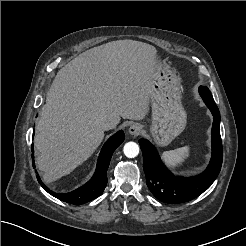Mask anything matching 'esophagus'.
I'll use <instances>...</instances> for the list:
<instances>
[{
	"label": "esophagus",
	"mask_w": 246,
	"mask_h": 246,
	"mask_svg": "<svg viewBox=\"0 0 246 246\" xmlns=\"http://www.w3.org/2000/svg\"><path fill=\"white\" fill-rule=\"evenodd\" d=\"M141 131H142V126L137 123L132 124L128 129L129 134L134 135V136L139 135Z\"/></svg>",
	"instance_id": "34e87169"
}]
</instances>
